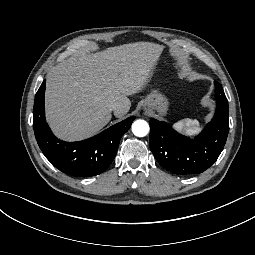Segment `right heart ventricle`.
Segmentation results:
<instances>
[{
	"mask_svg": "<svg viewBox=\"0 0 255 255\" xmlns=\"http://www.w3.org/2000/svg\"><path fill=\"white\" fill-rule=\"evenodd\" d=\"M120 74H121V73L117 72L116 77H117L118 75H120ZM113 82H114V81L110 82V87H109L110 90H111L112 92L116 91V90L112 87ZM159 88H163V87H162L161 85H159V84H155V85L150 86V87H148V88H146V89H142L141 86H140L139 84L136 85V86L131 87V88H130V92H131L132 94H135V96L137 97V106H136V109H135V110H132V108H131V106H130V111H131V112H137V113H138V111L141 110V109H143L144 106H145V97H147V96H149V95H150V97H152L153 95H151V93H153L154 91H156V90L159 89ZM125 107H127V104H126ZM133 116H134V115H133ZM117 127H118V124L116 123V124H114V125L112 126L111 129H117Z\"/></svg>",
	"mask_w": 255,
	"mask_h": 255,
	"instance_id": "1",
	"label": "right heart ventricle"
}]
</instances>
